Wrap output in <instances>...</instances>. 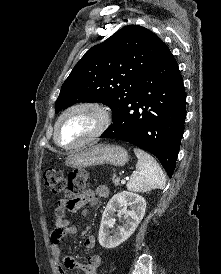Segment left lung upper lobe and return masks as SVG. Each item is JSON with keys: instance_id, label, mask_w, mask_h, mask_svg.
<instances>
[{"instance_id": "obj_1", "label": "left lung upper lobe", "mask_w": 221, "mask_h": 274, "mask_svg": "<svg viewBox=\"0 0 221 274\" xmlns=\"http://www.w3.org/2000/svg\"><path fill=\"white\" fill-rule=\"evenodd\" d=\"M169 51L152 31L139 25L123 27L89 49L75 65L61 87L56 113L78 102H101L114 115Z\"/></svg>"}]
</instances>
